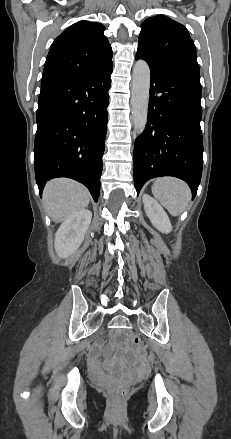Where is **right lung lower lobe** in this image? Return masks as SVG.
<instances>
[{"label": "right lung lower lobe", "instance_id": "1", "mask_svg": "<svg viewBox=\"0 0 231 439\" xmlns=\"http://www.w3.org/2000/svg\"><path fill=\"white\" fill-rule=\"evenodd\" d=\"M112 70L110 62L87 77L41 87L34 145L40 196L46 181L69 177L98 201Z\"/></svg>", "mask_w": 231, "mask_h": 439}]
</instances>
